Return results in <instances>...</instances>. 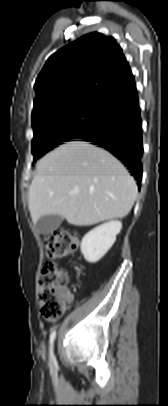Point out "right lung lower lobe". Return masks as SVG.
<instances>
[{"label":"right lung lower lobe","instance_id":"right-lung-lower-lobe-1","mask_svg":"<svg viewBox=\"0 0 168 406\" xmlns=\"http://www.w3.org/2000/svg\"><path fill=\"white\" fill-rule=\"evenodd\" d=\"M105 117L78 137L109 151L142 180V127L135 84L105 100ZM140 186V185H139Z\"/></svg>","mask_w":168,"mask_h":406}]
</instances>
